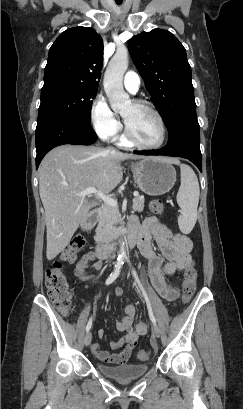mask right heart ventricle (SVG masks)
Instances as JSON below:
<instances>
[{
    "instance_id": "e07e8e85",
    "label": "right heart ventricle",
    "mask_w": 243,
    "mask_h": 409,
    "mask_svg": "<svg viewBox=\"0 0 243 409\" xmlns=\"http://www.w3.org/2000/svg\"><path fill=\"white\" fill-rule=\"evenodd\" d=\"M120 144L124 147H129L131 145V143L127 140L126 137L120 138Z\"/></svg>"
}]
</instances>
